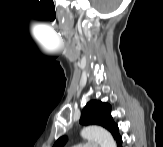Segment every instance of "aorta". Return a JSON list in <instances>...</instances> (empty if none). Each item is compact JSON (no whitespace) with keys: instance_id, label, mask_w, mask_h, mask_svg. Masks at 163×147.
Returning a JSON list of instances; mask_svg holds the SVG:
<instances>
[{"instance_id":"aorta-1","label":"aorta","mask_w":163,"mask_h":147,"mask_svg":"<svg viewBox=\"0 0 163 147\" xmlns=\"http://www.w3.org/2000/svg\"><path fill=\"white\" fill-rule=\"evenodd\" d=\"M81 136L86 140L98 142L101 147H116V142L112 135L100 126L90 125L84 127L81 131Z\"/></svg>"}]
</instances>
